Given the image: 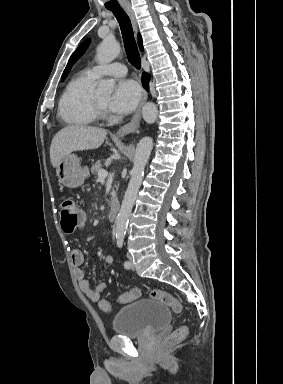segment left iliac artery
<instances>
[{
  "instance_id": "44dca946",
  "label": "left iliac artery",
  "mask_w": 283,
  "mask_h": 384,
  "mask_svg": "<svg viewBox=\"0 0 283 384\" xmlns=\"http://www.w3.org/2000/svg\"><path fill=\"white\" fill-rule=\"evenodd\" d=\"M123 241H124L123 237H118L117 238V245H118L119 248L123 247ZM124 267L127 268V269L130 268L129 261H125L124 262Z\"/></svg>"
}]
</instances>
